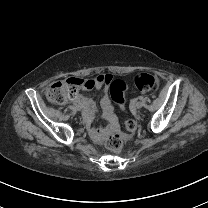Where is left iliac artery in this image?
<instances>
[{
	"label": "left iliac artery",
	"instance_id": "1",
	"mask_svg": "<svg viewBox=\"0 0 208 208\" xmlns=\"http://www.w3.org/2000/svg\"><path fill=\"white\" fill-rule=\"evenodd\" d=\"M139 99H140V100H143V96H140Z\"/></svg>",
	"mask_w": 208,
	"mask_h": 208
}]
</instances>
